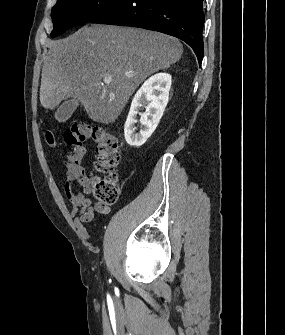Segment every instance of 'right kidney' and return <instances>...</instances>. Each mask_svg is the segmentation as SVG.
<instances>
[{
  "instance_id": "1",
  "label": "right kidney",
  "mask_w": 285,
  "mask_h": 335,
  "mask_svg": "<svg viewBox=\"0 0 285 335\" xmlns=\"http://www.w3.org/2000/svg\"><path fill=\"white\" fill-rule=\"evenodd\" d=\"M171 80L170 74H155L146 80L140 90L136 92L124 126V136L129 146L140 148L156 130L168 104ZM143 104H147L145 106L146 112L140 114L143 128L139 134H135L134 126L137 122V114Z\"/></svg>"
}]
</instances>
